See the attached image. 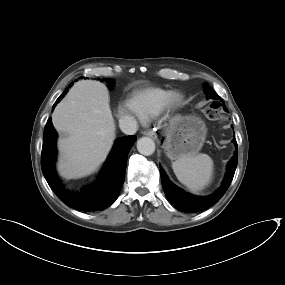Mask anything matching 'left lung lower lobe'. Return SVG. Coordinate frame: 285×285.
Masks as SVG:
<instances>
[{"label":"left lung lower lobe","mask_w":285,"mask_h":285,"mask_svg":"<svg viewBox=\"0 0 285 285\" xmlns=\"http://www.w3.org/2000/svg\"><path fill=\"white\" fill-rule=\"evenodd\" d=\"M224 109L226 110L225 107ZM233 142L237 147L235 139H233ZM237 161H238V150L236 148L234 156L228 162L227 172L222 185L214 194L206 197L193 196L191 194L186 193L182 189L178 188L168 179L165 171L162 169V167H160V176L164 192L168 200L171 202V204L174 205L176 209L182 212H198L201 210H205L210 206L214 205L216 202H218L219 199L226 192L227 188L229 187L233 179L237 167Z\"/></svg>","instance_id":"obj_1"}]
</instances>
